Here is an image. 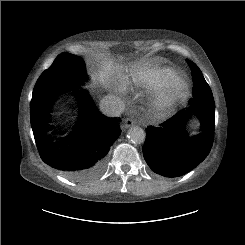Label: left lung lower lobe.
<instances>
[{"label":"left lung lower lobe","instance_id":"obj_1","mask_svg":"<svg viewBox=\"0 0 245 245\" xmlns=\"http://www.w3.org/2000/svg\"><path fill=\"white\" fill-rule=\"evenodd\" d=\"M201 90H205L202 88ZM196 114L201 121V133L190 136L185 130L187 118ZM215 103L208 100L191 103L159 127L148 126L143 147L144 158L151 170L164 177L182 176L209 154L214 140Z\"/></svg>","mask_w":245,"mask_h":245}]
</instances>
